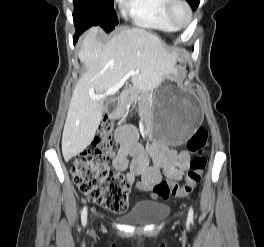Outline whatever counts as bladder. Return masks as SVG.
<instances>
[{
    "label": "bladder",
    "mask_w": 264,
    "mask_h": 247,
    "mask_svg": "<svg viewBox=\"0 0 264 247\" xmlns=\"http://www.w3.org/2000/svg\"><path fill=\"white\" fill-rule=\"evenodd\" d=\"M168 212L169 207L165 203L143 201L135 204L123 219L138 224H150L164 219Z\"/></svg>",
    "instance_id": "1"
}]
</instances>
